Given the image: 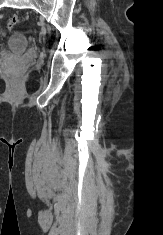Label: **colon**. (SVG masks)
<instances>
[{
	"label": "colon",
	"mask_w": 163,
	"mask_h": 235,
	"mask_svg": "<svg viewBox=\"0 0 163 235\" xmlns=\"http://www.w3.org/2000/svg\"><path fill=\"white\" fill-rule=\"evenodd\" d=\"M19 24L18 16H12L7 22V28L9 30L13 29L15 26Z\"/></svg>",
	"instance_id": "colon-1"
}]
</instances>
